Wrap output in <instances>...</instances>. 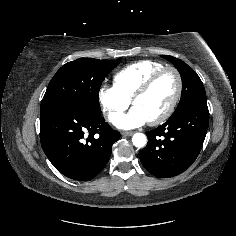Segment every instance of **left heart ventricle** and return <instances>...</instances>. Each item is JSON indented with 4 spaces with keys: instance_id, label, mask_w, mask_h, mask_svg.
Masks as SVG:
<instances>
[{
    "instance_id": "b2bd125f",
    "label": "left heart ventricle",
    "mask_w": 236,
    "mask_h": 236,
    "mask_svg": "<svg viewBox=\"0 0 236 236\" xmlns=\"http://www.w3.org/2000/svg\"><path fill=\"white\" fill-rule=\"evenodd\" d=\"M176 78L168 72L164 74L148 93L137 99L134 107L138 108L151 121L159 117L170 105L176 92Z\"/></svg>"
}]
</instances>
